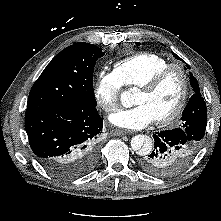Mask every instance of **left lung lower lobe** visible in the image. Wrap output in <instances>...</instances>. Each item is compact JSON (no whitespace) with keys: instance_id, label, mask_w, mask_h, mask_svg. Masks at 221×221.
Segmentation results:
<instances>
[{"instance_id":"left-lung-lower-lobe-1","label":"left lung lower lobe","mask_w":221,"mask_h":221,"mask_svg":"<svg viewBox=\"0 0 221 221\" xmlns=\"http://www.w3.org/2000/svg\"><path fill=\"white\" fill-rule=\"evenodd\" d=\"M153 138L155 144L152 151L141 157L139 163L143 170L158 177L182 171L199 149L181 128L156 132Z\"/></svg>"}]
</instances>
